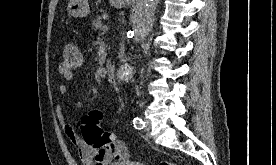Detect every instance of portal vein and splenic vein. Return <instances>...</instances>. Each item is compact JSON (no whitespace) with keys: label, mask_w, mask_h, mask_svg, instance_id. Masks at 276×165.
Wrapping results in <instances>:
<instances>
[{"label":"portal vein and splenic vein","mask_w":276,"mask_h":165,"mask_svg":"<svg viewBox=\"0 0 276 165\" xmlns=\"http://www.w3.org/2000/svg\"><path fill=\"white\" fill-rule=\"evenodd\" d=\"M109 29H110V27L107 26V25H105V26H103L102 31H103V32H106V31H108Z\"/></svg>","instance_id":"portal-vein-and-splenic-vein-1"}]
</instances>
